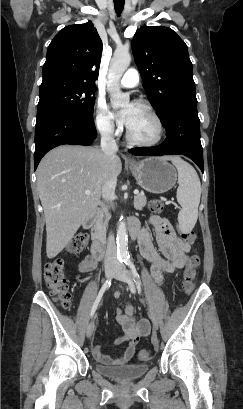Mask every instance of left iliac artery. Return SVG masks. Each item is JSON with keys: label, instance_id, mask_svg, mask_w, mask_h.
<instances>
[{"label": "left iliac artery", "instance_id": "left-iliac-artery-1", "mask_svg": "<svg viewBox=\"0 0 243 409\" xmlns=\"http://www.w3.org/2000/svg\"><path fill=\"white\" fill-rule=\"evenodd\" d=\"M124 262L131 269V272L135 278V282L140 287L141 286L140 276L135 268V265L133 264L130 258H126Z\"/></svg>", "mask_w": 243, "mask_h": 409}]
</instances>
